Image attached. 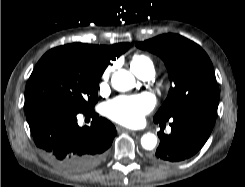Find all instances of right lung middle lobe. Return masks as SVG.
<instances>
[{"instance_id":"dd1d6c3e","label":"right lung middle lobe","mask_w":245,"mask_h":187,"mask_svg":"<svg viewBox=\"0 0 245 187\" xmlns=\"http://www.w3.org/2000/svg\"><path fill=\"white\" fill-rule=\"evenodd\" d=\"M108 64L103 54L93 52L86 44L51 49L39 60L27 82L26 116L52 106L93 111L98 83Z\"/></svg>"}]
</instances>
